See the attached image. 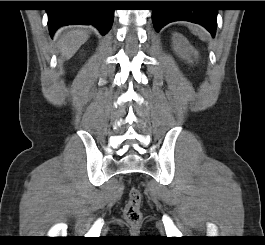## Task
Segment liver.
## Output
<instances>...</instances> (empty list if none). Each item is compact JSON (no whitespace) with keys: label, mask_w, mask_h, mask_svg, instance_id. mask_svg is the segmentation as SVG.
<instances>
[{"label":"liver","mask_w":265,"mask_h":245,"mask_svg":"<svg viewBox=\"0 0 265 245\" xmlns=\"http://www.w3.org/2000/svg\"><path fill=\"white\" fill-rule=\"evenodd\" d=\"M89 32L80 26L64 30L59 29L55 34L57 47L66 60L70 59L78 49L88 40Z\"/></svg>","instance_id":"1"}]
</instances>
